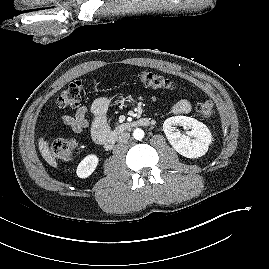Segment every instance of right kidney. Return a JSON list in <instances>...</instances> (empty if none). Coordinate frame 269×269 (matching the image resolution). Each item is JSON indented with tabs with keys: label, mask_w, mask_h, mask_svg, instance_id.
<instances>
[{
	"label": "right kidney",
	"mask_w": 269,
	"mask_h": 269,
	"mask_svg": "<svg viewBox=\"0 0 269 269\" xmlns=\"http://www.w3.org/2000/svg\"><path fill=\"white\" fill-rule=\"evenodd\" d=\"M99 159L95 154L87 155L77 167V175L80 178L89 177L98 165Z\"/></svg>",
	"instance_id": "right-kidney-1"
}]
</instances>
